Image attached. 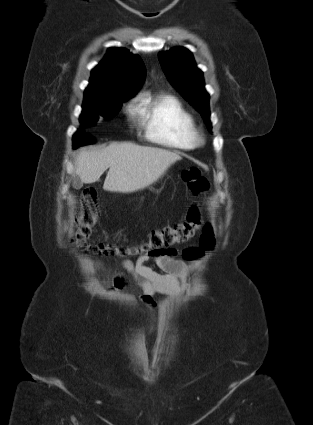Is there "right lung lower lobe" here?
Masks as SVG:
<instances>
[{
    "instance_id": "1",
    "label": "right lung lower lobe",
    "mask_w": 313,
    "mask_h": 425,
    "mask_svg": "<svg viewBox=\"0 0 313 425\" xmlns=\"http://www.w3.org/2000/svg\"><path fill=\"white\" fill-rule=\"evenodd\" d=\"M78 135H80L81 137H83L85 139V141H87L89 144L92 143V142H94V140L91 137L87 136L86 134H84L81 131L78 132Z\"/></svg>"
}]
</instances>
